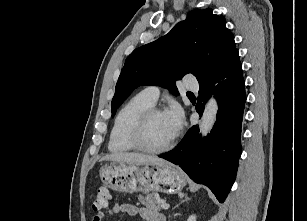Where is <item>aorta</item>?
<instances>
[{
    "instance_id": "obj_1",
    "label": "aorta",
    "mask_w": 307,
    "mask_h": 221,
    "mask_svg": "<svg viewBox=\"0 0 307 221\" xmlns=\"http://www.w3.org/2000/svg\"><path fill=\"white\" fill-rule=\"evenodd\" d=\"M218 111V103L214 97H211L206 103L203 115L201 117L199 131L202 136H207L213 127Z\"/></svg>"
}]
</instances>
